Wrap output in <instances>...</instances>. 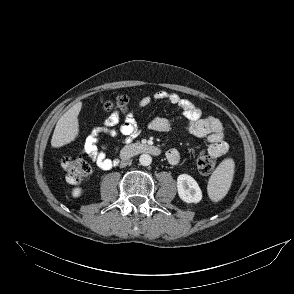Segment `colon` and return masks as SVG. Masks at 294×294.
<instances>
[{
    "label": "colon",
    "instance_id": "5ec220e1",
    "mask_svg": "<svg viewBox=\"0 0 294 294\" xmlns=\"http://www.w3.org/2000/svg\"><path fill=\"white\" fill-rule=\"evenodd\" d=\"M129 107V98L119 95L113 100L104 103L103 108L107 112L121 113ZM215 157L209 152H201L197 158V168L203 175H209L215 168ZM61 166L66 172V179L72 184H78L85 180L92 172L91 165L81 156L65 155L61 160Z\"/></svg>",
    "mask_w": 294,
    "mask_h": 294
}]
</instances>
